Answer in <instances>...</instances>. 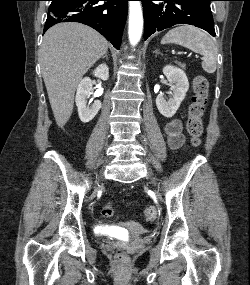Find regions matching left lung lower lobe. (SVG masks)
<instances>
[{
  "label": "left lung lower lobe",
  "mask_w": 250,
  "mask_h": 285,
  "mask_svg": "<svg viewBox=\"0 0 250 285\" xmlns=\"http://www.w3.org/2000/svg\"><path fill=\"white\" fill-rule=\"evenodd\" d=\"M145 20L144 40L156 31L176 24H189L202 28L215 36L210 9L213 0H141ZM153 1H162L155 4Z\"/></svg>",
  "instance_id": "left-lung-lower-lobe-1"
}]
</instances>
